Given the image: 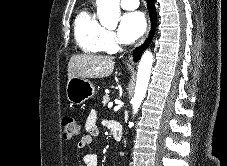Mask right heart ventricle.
Listing matches in <instances>:
<instances>
[{"label": "right heart ventricle", "mask_w": 227, "mask_h": 166, "mask_svg": "<svg viewBox=\"0 0 227 166\" xmlns=\"http://www.w3.org/2000/svg\"><path fill=\"white\" fill-rule=\"evenodd\" d=\"M106 32L91 7L85 6L79 11L74 21V37L83 52L96 54L105 51Z\"/></svg>", "instance_id": "e07e8e85"}]
</instances>
